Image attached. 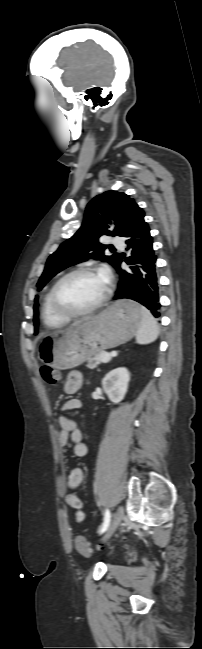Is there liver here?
Masks as SVG:
<instances>
[{"instance_id": "liver-1", "label": "liver", "mask_w": 202, "mask_h": 649, "mask_svg": "<svg viewBox=\"0 0 202 649\" xmlns=\"http://www.w3.org/2000/svg\"><path fill=\"white\" fill-rule=\"evenodd\" d=\"M83 320H84V319L74 322V323L72 324V326H77V325L80 324Z\"/></svg>"}]
</instances>
